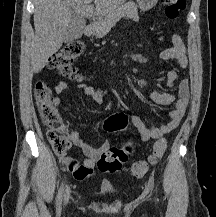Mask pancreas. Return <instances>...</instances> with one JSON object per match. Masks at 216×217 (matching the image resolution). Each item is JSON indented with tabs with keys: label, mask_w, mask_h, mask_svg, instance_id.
I'll return each mask as SVG.
<instances>
[{
	"label": "pancreas",
	"mask_w": 216,
	"mask_h": 217,
	"mask_svg": "<svg viewBox=\"0 0 216 217\" xmlns=\"http://www.w3.org/2000/svg\"><path fill=\"white\" fill-rule=\"evenodd\" d=\"M124 17L133 19L134 21L139 20L137 6L134 2L129 1L104 17L98 18L93 25V35L98 38L105 36L116 22Z\"/></svg>",
	"instance_id": "pancreas-1"
}]
</instances>
